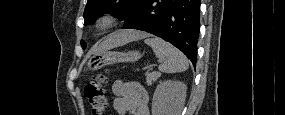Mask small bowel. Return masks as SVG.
I'll return each mask as SVG.
<instances>
[{"mask_svg":"<svg viewBox=\"0 0 285 115\" xmlns=\"http://www.w3.org/2000/svg\"><path fill=\"white\" fill-rule=\"evenodd\" d=\"M116 97L113 107L119 115H149V95L136 82L116 80L113 83Z\"/></svg>","mask_w":285,"mask_h":115,"instance_id":"small-bowel-1","label":"small bowel"}]
</instances>
